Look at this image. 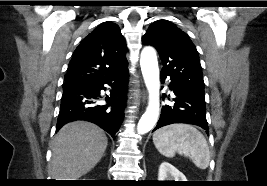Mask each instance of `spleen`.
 Wrapping results in <instances>:
<instances>
[{
    "mask_svg": "<svg viewBox=\"0 0 267 186\" xmlns=\"http://www.w3.org/2000/svg\"><path fill=\"white\" fill-rule=\"evenodd\" d=\"M153 143L164 156L172 158L175 153L189 157L200 169L210 162V151L204 135L188 124H172L158 129L153 134Z\"/></svg>",
    "mask_w": 267,
    "mask_h": 186,
    "instance_id": "obj_1",
    "label": "spleen"
}]
</instances>
